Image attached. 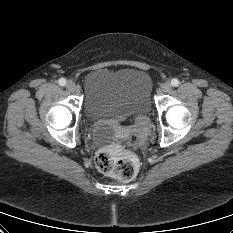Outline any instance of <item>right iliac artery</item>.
Listing matches in <instances>:
<instances>
[{
	"label": "right iliac artery",
	"mask_w": 233,
	"mask_h": 233,
	"mask_svg": "<svg viewBox=\"0 0 233 233\" xmlns=\"http://www.w3.org/2000/svg\"><path fill=\"white\" fill-rule=\"evenodd\" d=\"M58 83H59V85H61V86H65V85H66V79L60 78V79L58 80Z\"/></svg>",
	"instance_id": "82829eb1"
}]
</instances>
